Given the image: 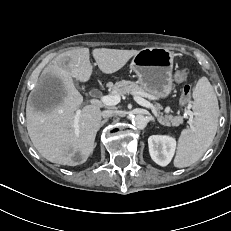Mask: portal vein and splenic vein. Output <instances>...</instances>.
<instances>
[{
  "mask_svg": "<svg viewBox=\"0 0 231 231\" xmlns=\"http://www.w3.org/2000/svg\"><path fill=\"white\" fill-rule=\"evenodd\" d=\"M120 100L121 98L119 95H104V96H101L99 100H96V102L102 103L107 106H113V105H117L120 102ZM136 101L141 106L151 109L154 116L161 123V120H159L157 109L151 102L145 100L142 97H137ZM80 114H81V110H78L75 115V128L76 129L78 128V119H79Z\"/></svg>",
  "mask_w": 231,
  "mask_h": 231,
  "instance_id": "obj_1",
  "label": "portal vein and splenic vein"
}]
</instances>
